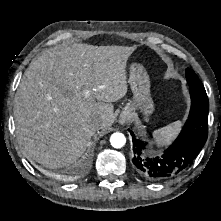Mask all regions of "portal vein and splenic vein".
Listing matches in <instances>:
<instances>
[{
    "label": "portal vein and splenic vein",
    "instance_id": "portal-vein-and-splenic-vein-1",
    "mask_svg": "<svg viewBox=\"0 0 221 221\" xmlns=\"http://www.w3.org/2000/svg\"><path fill=\"white\" fill-rule=\"evenodd\" d=\"M100 88H102V87H100ZM97 89H93V91H96ZM89 94H90V91H86L85 92V96L87 97V96H89Z\"/></svg>",
    "mask_w": 221,
    "mask_h": 221
}]
</instances>
